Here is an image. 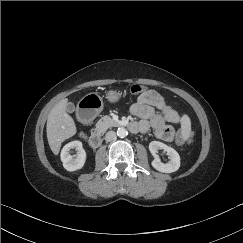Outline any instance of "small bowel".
<instances>
[{
  "mask_svg": "<svg viewBox=\"0 0 243 243\" xmlns=\"http://www.w3.org/2000/svg\"><path fill=\"white\" fill-rule=\"evenodd\" d=\"M130 112L139 118V121L133 123L138 126L133 132L147 133L153 129L155 136L165 142H171L175 134L174 129L167 123L178 125L182 122L181 115L174 107L153 89L141 93L132 104Z\"/></svg>",
  "mask_w": 243,
  "mask_h": 243,
  "instance_id": "1",
  "label": "small bowel"
}]
</instances>
